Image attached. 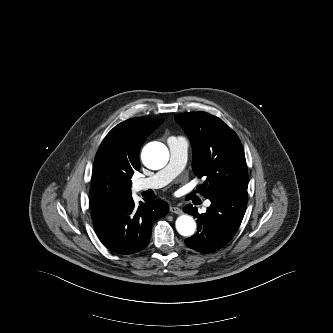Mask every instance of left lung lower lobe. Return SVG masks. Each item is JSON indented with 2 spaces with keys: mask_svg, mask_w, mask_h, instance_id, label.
I'll list each match as a JSON object with an SVG mask.
<instances>
[{
  "mask_svg": "<svg viewBox=\"0 0 333 333\" xmlns=\"http://www.w3.org/2000/svg\"><path fill=\"white\" fill-rule=\"evenodd\" d=\"M207 212L199 214L188 204L184 212L197 218V233L185 240L188 247L201 253H211L225 246L238 230L247 206V192H225L209 198Z\"/></svg>",
  "mask_w": 333,
  "mask_h": 333,
  "instance_id": "obj_1",
  "label": "left lung lower lobe"
}]
</instances>
